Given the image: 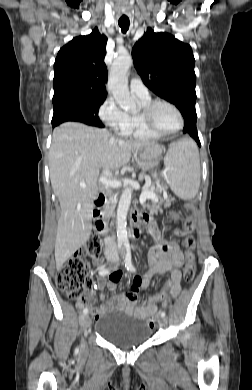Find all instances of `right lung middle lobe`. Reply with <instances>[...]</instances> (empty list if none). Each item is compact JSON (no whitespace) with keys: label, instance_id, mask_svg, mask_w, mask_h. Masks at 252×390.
Returning a JSON list of instances; mask_svg holds the SVG:
<instances>
[{"label":"right lung middle lobe","instance_id":"dd1d6c3e","mask_svg":"<svg viewBox=\"0 0 252 390\" xmlns=\"http://www.w3.org/2000/svg\"><path fill=\"white\" fill-rule=\"evenodd\" d=\"M106 98L71 97L53 101L52 125L66 121H77L96 127H104L99 120V107Z\"/></svg>","mask_w":252,"mask_h":390}]
</instances>
